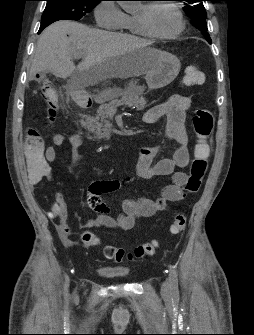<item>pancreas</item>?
<instances>
[{
    "instance_id": "1",
    "label": "pancreas",
    "mask_w": 254,
    "mask_h": 335,
    "mask_svg": "<svg viewBox=\"0 0 254 335\" xmlns=\"http://www.w3.org/2000/svg\"><path fill=\"white\" fill-rule=\"evenodd\" d=\"M120 98V99H119ZM101 103L95 117H88L86 128L95 135H106L111 127L108 121L109 113L120 105H126L132 109L143 110L146 107V100L142 96L140 87L131 85L126 91L106 90L98 98Z\"/></svg>"
}]
</instances>
